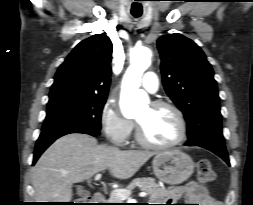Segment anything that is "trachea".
Wrapping results in <instances>:
<instances>
[{
    "label": "trachea",
    "mask_w": 253,
    "mask_h": 205,
    "mask_svg": "<svg viewBox=\"0 0 253 205\" xmlns=\"http://www.w3.org/2000/svg\"><path fill=\"white\" fill-rule=\"evenodd\" d=\"M132 15L135 17V18H138L141 16V14H136V13H132Z\"/></svg>",
    "instance_id": "3493384b"
}]
</instances>
